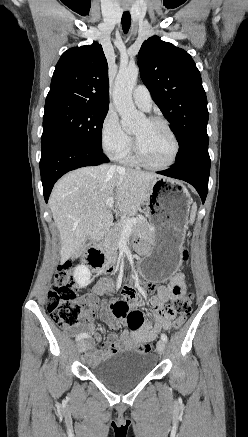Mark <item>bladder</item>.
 I'll return each mask as SVG.
<instances>
[{"label": "bladder", "instance_id": "obj_1", "mask_svg": "<svg viewBox=\"0 0 248 437\" xmlns=\"http://www.w3.org/2000/svg\"><path fill=\"white\" fill-rule=\"evenodd\" d=\"M154 364L151 354L126 350L95 365L91 373L110 389L123 392L146 378Z\"/></svg>", "mask_w": 248, "mask_h": 437}]
</instances>
